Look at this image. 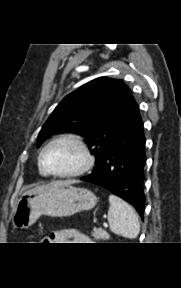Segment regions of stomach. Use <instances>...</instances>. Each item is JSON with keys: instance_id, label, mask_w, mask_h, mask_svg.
Instances as JSON below:
<instances>
[{"instance_id": "1", "label": "stomach", "mask_w": 181, "mask_h": 288, "mask_svg": "<svg viewBox=\"0 0 181 288\" xmlns=\"http://www.w3.org/2000/svg\"><path fill=\"white\" fill-rule=\"evenodd\" d=\"M96 203L97 198L90 190L55 181L35 192L24 193L15 207L12 224L15 228L27 229L41 215L67 217L90 210Z\"/></svg>"}]
</instances>
